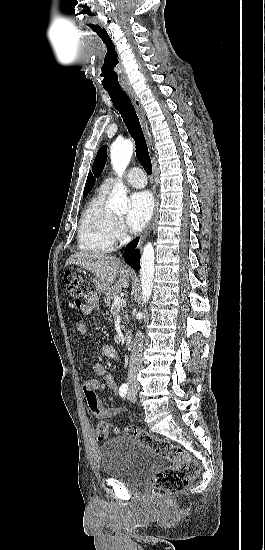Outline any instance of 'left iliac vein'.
<instances>
[{
  "label": "left iliac vein",
  "instance_id": "obj_1",
  "mask_svg": "<svg viewBox=\"0 0 265 550\" xmlns=\"http://www.w3.org/2000/svg\"><path fill=\"white\" fill-rule=\"evenodd\" d=\"M128 399H129L131 402H135V401H136L135 396H132V395L130 394V392L128 393Z\"/></svg>",
  "mask_w": 265,
  "mask_h": 550
}]
</instances>
